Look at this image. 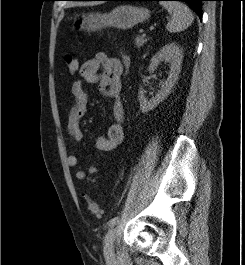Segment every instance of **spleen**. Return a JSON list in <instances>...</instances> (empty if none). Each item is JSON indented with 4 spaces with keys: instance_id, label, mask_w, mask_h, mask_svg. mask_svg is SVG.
<instances>
[{
    "instance_id": "spleen-1",
    "label": "spleen",
    "mask_w": 245,
    "mask_h": 265,
    "mask_svg": "<svg viewBox=\"0 0 245 265\" xmlns=\"http://www.w3.org/2000/svg\"><path fill=\"white\" fill-rule=\"evenodd\" d=\"M160 5L171 14V20L166 26L169 32H180L192 24L193 14L185 4L177 1H163Z\"/></svg>"
}]
</instances>
